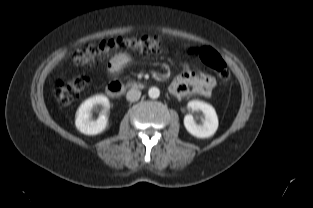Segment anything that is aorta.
<instances>
[{"mask_svg": "<svg viewBox=\"0 0 313 208\" xmlns=\"http://www.w3.org/2000/svg\"><path fill=\"white\" fill-rule=\"evenodd\" d=\"M148 95L152 99H156L160 96V90L157 87H151L148 91Z\"/></svg>", "mask_w": 313, "mask_h": 208, "instance_id": "762f6f07", "label": "aorta"}]
</instances>
